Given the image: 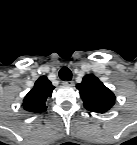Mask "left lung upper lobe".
Returning a JSON list of instances; mask_svg holds the SVG:
<instances>
[{
  "instance_id": "1",
  "label": "left lung upper lobe",
  "mask_w": 137,
  "mask_h": 145,
  "mask_svg": "<svg viewBox=\"0 0 137 145\" xmlns=\"http://www.w3.org/2000/svg\"><path fill=\"white\" fill-rule=\"evenodd\" d=\"M76 87L87 110L105 113L115 104L114 93L93 74L85 75Z\"/></svg>"
}]
</instances>
